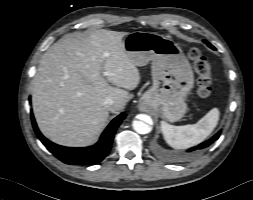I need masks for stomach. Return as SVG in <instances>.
I'll use <instances>...</instances> for the list:
<instances>
[{"label":"stomach","mask_w":253,"mask_h":200,"mask_svg":"<svg viewBox=\"0 0 253 200\" xmlns=\"http://www.w3.org/2000/svg\"><path fill=\"white\" fill-rule=\"evenodd\" d=\"M123 43L136 66L152 63L153 85L140 98V105L170 122L180 120L187 111L185 98L194 74L179 45L163 35L141 31L128 34Z\"/></svg>","instance_id":"obj_1"}]
</instances>
